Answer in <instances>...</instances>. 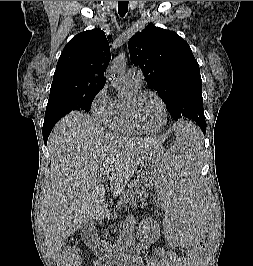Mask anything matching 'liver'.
Wrapping results in <instances>:
<instances>
[{
  "label": "liver",
  "mask_w": 253,
  "mask_h": 266,
  "mask_svg": "<svg viewBox=\"0 0 253 266\" xmlns=\"http://www.w3.org/2000/svg\"><path fill=\"white\" fill-rule=\"evenodd\" d=\"M164 138L120 137L105 131L87 113L63 117L48 138L51 169L43 188L40 224L49 253L57 260L66 239L106 216L105 188L124 193L144 158Z\"/></svg>",
  "instance_id": "liver-1"
}]
</instances>
